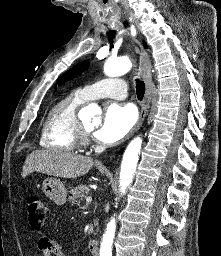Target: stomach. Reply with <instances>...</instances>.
<instances>
[{"label":"stomach","instance_id":"0dacf381","mask_svg":"<svg viewBox=\"0 0 221 256\" xmlns=\"http://www.w3.org/2000/svg\"><path fill=\"white\" fill-rule=\"evenodd\" d=\"M42 190L55 204L62 205L66 202L67 189L59 179L46 178L43 181Z\"/></svg>","mask_w":221,"mask_h":256}]
</instances>
